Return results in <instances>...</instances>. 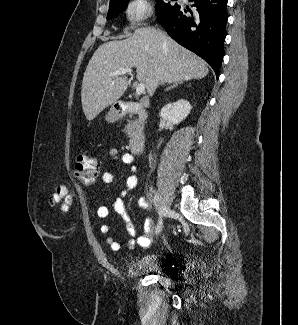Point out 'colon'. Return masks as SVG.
<instances>
[{"label":"colon","instance_id":"obj_1","mask_svg":"<svg viewBox=\"0 0 298 325\" xmlns=\"http://www.w3.org/2000/svg\"><path fill=\"white\" fill-rule=\"evenodd\" d=\"M97 176V162L94 158L80 154L75 160L74 177L85 186L94 184ZM52 206H59L62 211H66L71 203L69 191L65 187L57 188L49 197Z\"/></svg>","mask_w":298,"mask_h":325}]
</instances>
